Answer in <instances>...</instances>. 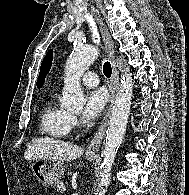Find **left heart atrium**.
I'll return each instance as SVG.
<instances>
[{
  "label": "left heart atrium",
  "mask_w": 189,
  "mask_h": 195,
  "mask_svg": "<svg viewBox=\"0 0 189 195\" xmlns=\"http://www.w3.org/2000/svg\"><path fill=\"white\" fill-rule=\"evenodd\" d=\"M108 99V91L104 87L90 90L87 94L82 120L88 122L96 118L105 108Z\"/></svg>",
  "instance_id": "39dd6f15"
}]
</instances>
